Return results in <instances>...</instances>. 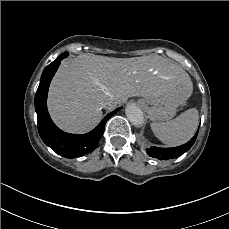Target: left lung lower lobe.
I'll list each match as a JSON object with an SVG mask.
<instances>
[{
	"mask_svg": "<svg viewBox=\"0 0 229 229\" xmlns=\"http://www.w3.org/2000/svg\"><path fill=\"white\" fill-rule=\"evenodd\" d=\"M198 130L189 142L181 146L173 147V148L150 147L146 149V152L150 157L157 158L159 160H169V159L177 158L183 153H185L186 151H188L193 146V144L197 139Z\"/></svg>",
	"mask_w": 229,
	"mask_h": 229,
	"instance_id": "obj_1",
	"label": "left lung lower lobe"
}]
</instances>
